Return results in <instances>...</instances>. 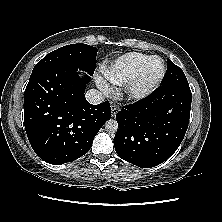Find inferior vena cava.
<instances>
[{
	"instance_id": "obj_1",
	"label": "inferior vena cava",
	"mask_w": 222,
	"mask_h": 222,
	"mask_svg": "<svg viewBox=\"0 0 222 222\" xmlns=\"http://www.w3.org/2000/svg\"><path fill=\"white\" fill-rule=\"evenodd\" d=\"M87 101L90 104L97 105L104 101V94L96 89H90L85 94Z\"/></svg>"
}]
</instances>
